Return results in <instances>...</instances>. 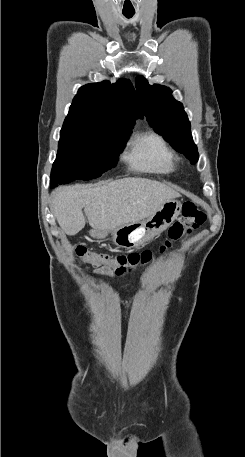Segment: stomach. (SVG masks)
Returning <instances> with one entry per match:
<instances>
[{
	"label": "stomach",
	"instance_id": "obj_1",
	"mask_svg": "<svg viewBox=\"0 0 245 457\" xmlns=\"http://www.w3.org/2000/svg\"><path fill=\"white\" fill-rule=\"evenodd\" d=\"M181 210L182 204L180 200L169 198L167 202L161 204L158 210H155L151 216H147L144 220L126 222V224L116 226V229H104V231L91 229L89 235L93 239H106L111 233L113 243L119 249L133 251V249L142 247V245L149 243L154 237H158L163 231H166L168 226L181 214Z\"/></svg>",
	"mask_w": 245,
	"mask_h": 457
}]
</instances>
